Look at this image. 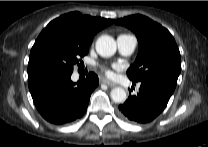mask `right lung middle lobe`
Returning <instances> with one entry per match:
<instances>
[{"instance_id": "right-lung-middle-lobe-1", "label": "right lung middle lobe", "mask_w": 208, "mask_h": 147, "mask_svg": "<svg viewBox=\"0 0 208 147\" xmlns=\"http://www.w3.org/2000/svg\"><path fill=\"white\" fill-rule=\"evenodd\" d=\"M89 51V46L73 39L54 38L42 43L33 53L31 70L33 73H72L80 58Z\"/></svg>"}]
</instances>
